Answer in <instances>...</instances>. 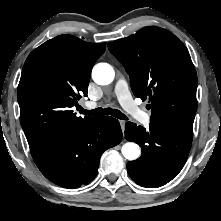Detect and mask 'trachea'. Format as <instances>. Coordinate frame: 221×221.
I'll list each match as a JSON object with an SVG mask.
<instances>
[{"label": "trachea", "instance_id": "obj_1", "mask_svg": "<svg viewBox=\"0 0 221 221\" xmlns=\"http://www.w3.org/2000/svg\"><path fill=\"white\" fill-rule=\"evenodd\" d=\"M81 114L89 115V116H103L110 114L113 117H116L121 120H127V116L124 115L121 111L112 108H96L94 110H85L83 108H79Z\"/></svg>", "mask_w": 221, "mask_h": 221}]
</instances>
